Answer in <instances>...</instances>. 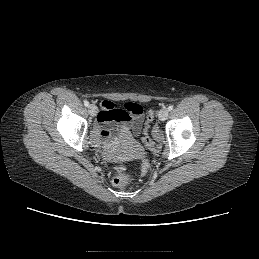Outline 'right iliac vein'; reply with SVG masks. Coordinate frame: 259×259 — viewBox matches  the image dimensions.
Returning a JSON list of instances; mask_svg holds the SVG:
<instances>
[{
  "instance_id": "1",
  "label": "right iliac vein",
  "mask_w": 259,
  "mask_h": 259,
  "mask_svg": "<svg viewBox=\"0 0 259 259\" xmlns=\"http://www.w3.org/2000/svg\"><path fill=\"white\" fill-rule=\"evenodd\" d=\"M88 112L92 117H94L97 114V107L93 104L89 105Z\"/></svg>"
}]
</instances>
